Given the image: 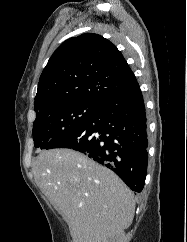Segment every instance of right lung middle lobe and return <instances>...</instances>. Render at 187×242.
<instances>
[{
  "instance_id": "1",
  "label": "right lung middle lobe",
  "mask_w": 187,
  "mask_h": 242,
  "mask_svg": "<svg viewBox=\"0 0 187 242\" xmlns=\"http://www.w3.org/2000/svg\"><path fill=\"white\" fill-rule=\"evenodd\" d=\"M99 107L100 105L87 102H73L36 115L32 131L34 146L47 149L87 121Z\"/></svg>"
}]
</instances>
